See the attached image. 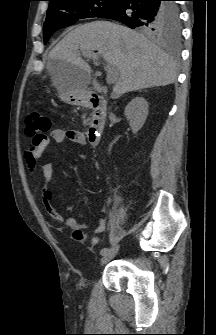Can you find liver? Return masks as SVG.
<instances>
[{"label": "liver", "mask_w": 216, "mask_h": 335, "mask_svg": "<svg viewBox=\"0 0 216 335\" xmlns=\"http://www.w3.org/2000/svg\"><path fill=\"white\" fill-rule=\"evenodd\" d=\"M94 51L118 73L114 96L176 81V63L144 35L115 23L94 21L70 31L50 51L48 70L53 84L57 87L58 79L64 77L73 89L87 85L91 67L81 56Z\"/></svg>", "instance_id": "obj_1"}]
</instances>
